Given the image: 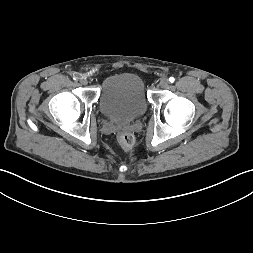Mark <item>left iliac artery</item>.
<instances>
[{
  "instance_id": "1",
  "label": "left iliac artery",
  "mask_w": 253,
  "mask_h": 253,
  "mask_svg": "<svg viewBox=\"0 0 253 253\" xmlns=\"http://www.w3.org/2000/svg\"><path fill=\"white\" fill-rule=\"evenodd\" d=\"M169 81H170L171 83H173V82L175 81L174 77H170V78H169Z\"/></svg>"
}]
</instances>
